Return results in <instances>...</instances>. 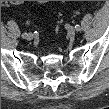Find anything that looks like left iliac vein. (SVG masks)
<instances>
[{
  "label": "left iliac vein",
  "instance_id": "obj_1",
  "mask_svg": "<svg viewBox=\"0 0 109 109\" xmlns=\"http://www.w3.org/2000/svg\"><path fill=\"white\" fill-rule=\"evenodd\" d=\"M67 33H68L69 37L73 38L76 34V30L73 26H70L67 29Z\"/></svg>",
  "mask_w": 109,
  "mask_h": 109
}]
</instances>
